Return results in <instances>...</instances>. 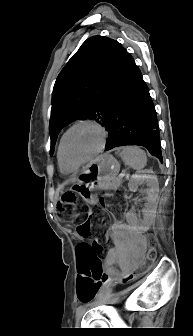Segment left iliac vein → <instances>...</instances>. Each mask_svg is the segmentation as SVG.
<instances>
[{"mask_svg": "<svg viewBox=\"0 0 193 336\" xmlns=\"http://www.w3.org/2000/svg\"><path fill=\"white\" fill-rule=\"evenodd\" d=\"M83 313H84V312H83ZM83 313H82V314H80V315L77 317V323H79V321H80V319H81V317H82Z\"/></svg>", "mask_w": 193, "mask_h": 336, "instance_id": "1", "label": "left iliac vein"}]
</instances>
